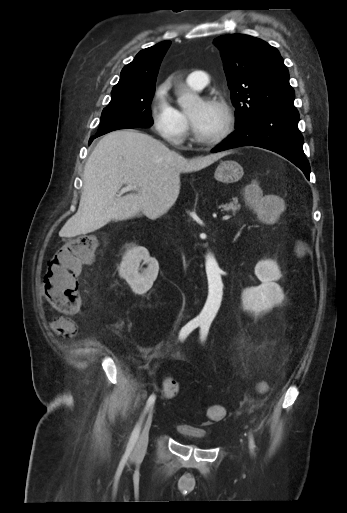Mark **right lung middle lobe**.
<instances>
[{"label": "right lung middle lobe", "instance_id": "right-lung-middle-lobe-1", "mask_svg": "<svg viewBox=\"0 0 347 513\" xmlns=\"http://www.w3.org/2000/svg\"><path fill=\"white\" fill-rule=\"evenodd\" d=\"M154 91L155 87L113 90L111 101L102 112L96 135L101 136L118 129L152 126L150 104Z\"/></svg>", "mask_w": 347, "mask_h": 513}]
</instances>
